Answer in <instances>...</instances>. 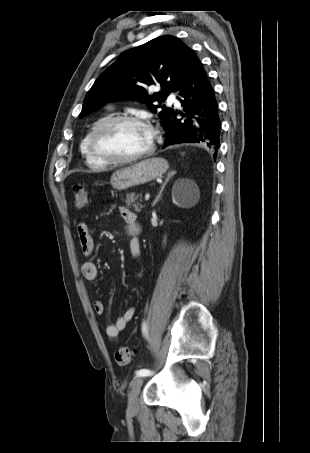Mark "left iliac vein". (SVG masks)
<instances>
[{"label": "left iliac vein", "mask_w": 310, "mask_h": 453, "mask_svg": "<svg viewBox=\"0 0 310 453\" xmlns=\"http://www.w3.org/2000/svg\"><path fill=\"white\" fill-rule=\"evenodd\" d=\"M143 384V377L138 376L134 379L128 398V412L130 414H137L138 406V395L140 393Z\"/></svg>", "instance_id": "1"}]
</instances>
